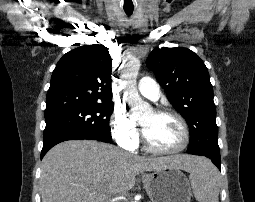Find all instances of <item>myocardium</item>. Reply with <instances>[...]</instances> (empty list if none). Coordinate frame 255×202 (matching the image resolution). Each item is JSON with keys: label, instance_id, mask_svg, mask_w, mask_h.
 Wrapping results in <instances>:
<instances>
[{"label": "myocardium", "instance_id": "myocardium-1", "mask_svg": "<svg viewBox=\"0 0 255 202\" xmlns=\"http://www.w3.org/2000/svg\"><path fill=\"white\" fill-rule=\"evenodd\" d=\"M153 112L156 115H160V116H172L174 117L179 124L181 125L182 128V132H183V140L181 142V144L176 147V148H172V149H159L154 147L150 141L147 138V135L145 133V129L144 127L141 125V139H142V143L144 145V148L151 153L154 154H160V155H169V154H176L179 153L181 151H183L189 144L190 142V131H189V127L188 124L186 122V120L183 118L182 115H180L178 112L172 110V109H167V108H160V109H155L153 110Z\"/></svg>", "mask_w": 255, "mask_h": 202}]
</instances>
